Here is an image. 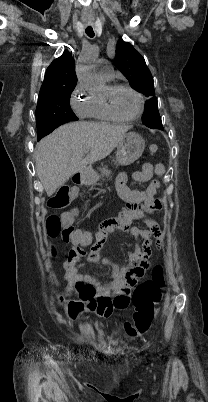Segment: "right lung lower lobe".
Masks as SVG:
<instances>
[{"mask_svg": "<svg viewBox=\"0 0 208 402\" xmlns=\"http://www.w3.org/2000/svg\"><path fill=\"white\" fill-rule=\"evenodd\" d=\"M62 124H64V122L58 121L56 119L44 120L37 123V129L39 131H42L44 135H48Z\"/></svg>", "mask_w": 208, "mask_h": 402, "instance_id": "obj_1", "label": "right lung lower lobe"}]
</instances>
